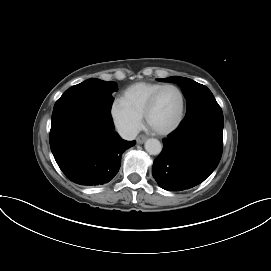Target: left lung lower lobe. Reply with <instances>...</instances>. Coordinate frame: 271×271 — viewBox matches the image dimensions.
<instances>
[{
    "instance_id": "0a47b994",
    "label": "left lung lower lobe",
    "mask_w": 271,
    "mask_h": 271,
    "mask_svg": "<svg viewBox=\"0 0 271 271\" xmlns=\"http://www.w3.org/2000/svg\"><path fill=\"white\" fill-rule=\"evenodd\" d=\"M223 113L218 103L187 113L180 126L163 139L152 174L167 191L192 188L217 167L223 148Z\"/></svg>"
}]
</instances>
